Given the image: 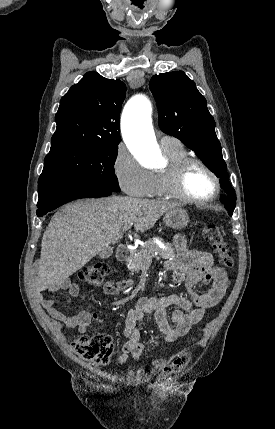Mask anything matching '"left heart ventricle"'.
Returning a JSON list of instances; mask_svg holds the SVG:
<instances>
[{
  "label": "left heart ventricle",
  "mask_w": 275,
  "mask_h": 429,
  "mask_svg": "<svg viewBox=\"0 0 275 429\" xmlns=\"http://www.w3.org/2000/svg\"><path fill=\"white\" fill-rule=\"evenodd\" d=\"M183 188L190 197L203 200L213 194L215 184L212 177L201 166L194 165L185 175Z\"/></svg>",
  "instance_id": "b2bd125f"
}]
</instances>
